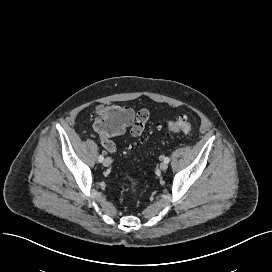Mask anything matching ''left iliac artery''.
<instances>
[{
  "label": "left iliac artery",
  "instance_id": "obj_1",
  "mask_svg": "<svg viewBox=\"0 0 272 272\" xmlns=\"http://www.w3.org/2000/svg\"><path fill=\"white\" fill-rule=\"evenodd\" d=\"M169 161H170L169 157L164 158V162L169 163Z\"/></svg>",
  "mask_w": 272,
  "mask_h": 272
}]
</instances>
